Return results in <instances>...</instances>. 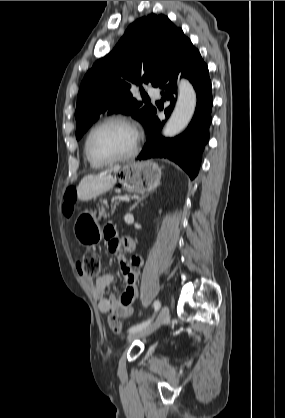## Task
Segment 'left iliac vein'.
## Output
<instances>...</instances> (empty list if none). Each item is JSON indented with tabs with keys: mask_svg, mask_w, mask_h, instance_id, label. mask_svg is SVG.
Listing matches in <instances>:
<instances>
[{
	"mask_svg": "<svg viewBox=\"0 0 285 418\" xmlns=\"http://www.w3.org/2000/svg\"><path fill=\"white\" fill-rule=\"evenodd\" d=\"M169 320H170L169 308L167 306H163L159 312L157 319L153 323L149 324L148 326H146L145 328L141 330L130 333L127 339L129 342H131L138 338L146 337L152 334L161 325L167 323Z\"/></svg>",
	"mask_w": 285,
	"mask_h": 418,
	"instance_id": "obj_1",
	"label": "left iliac vein"
}]
</instances>
